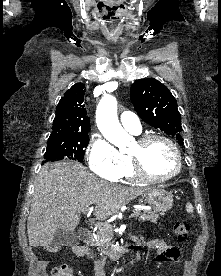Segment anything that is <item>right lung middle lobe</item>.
<instances>
[{
	"mask_svg": "<svg viewBox=\"0 0 221 276\" xmlns=\"http://www.w3.org/2000/svg\"><path fill=\"white\" fill-rule=\"evenodd\" d=\"M89 143L88 135H79L66 138H49L47 142V150L44 155L46 163L48 161H57L62 159H70L82 161L84 158L85 148Z\"/></svg>",
	"mask_w": 221,
	"mask_h": 276,
	"instance_id": "obj_1",
	"label": "right lung middle lobe"
}]
</instances>
